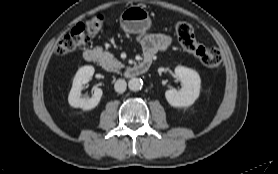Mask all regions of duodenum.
I'll return each instance as SVG.
<instances>
[{
    "label": "duodenum",
    "mask_w": 278,
    "mask_h": 174,
    "mask_svg": "<svg viewBox=\"0 0 278 174\" xmlns=\"http://www.w3.org/2000/svg\"><path fill=\"white\" fill-rule=\"evenodd\" d=\"M84 59L87 62L94 63L98 59V52L95 49H87L84 51ZM152 63V59L150 57H145L138 64L127 69L126 73L130 77L141 75L148 71Z\"/></svg>",
    "instance_id": "410a0bca"
}]
</instances>
